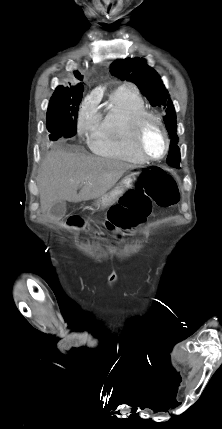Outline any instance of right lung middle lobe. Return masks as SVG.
<instances>
[{
  "label": "right lung middle lobe",
  "instance_id": "1",
  "mask_svg": "<svg viewBox=\"0 0 222 429\" xmlns=\"http://www.w3.org/2000/svg\"><path fill=\"white\" fill-rule=\"evenodd\" d=\"M82 92L83 86L76 85L69 92L52 95L46 114V126L51 141L61 137L69 138L76 134V119Z\"/></svg>",
  "mask_w": 222,
  "mask_h": 429
}]
</instances>
